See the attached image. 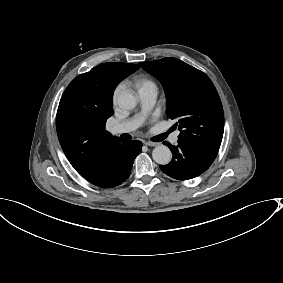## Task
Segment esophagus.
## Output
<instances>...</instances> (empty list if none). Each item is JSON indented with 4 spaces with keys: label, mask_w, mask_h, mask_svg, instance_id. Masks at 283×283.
I'll list each match as a JSON object with an SVG mask.
<instances>
[{
    "label": "esophagus",
    "mask_w": 283,
    "mask_h": 283,
    "mask_svg": "<svg viewBox=\"0 0 283 283\" xmlns=\"http://www.w3.org/2000/svg\"><path fill=\"white\" fill-rule=\"evenodd\" d=\"M145 145L146 146H152V147H156V146H159L160 145V143H158V142H145Z\"/></svg>",
    "instance_id": "1"
}]
</instances>
